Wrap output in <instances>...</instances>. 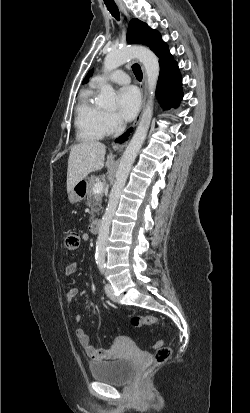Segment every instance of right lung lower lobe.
<instances>
[{"label": "right lung lower lobe", "instance_id": "98d812e1", "mask_svg": "<svg viewBox=\"0 0 250 413\" xmlns=\"http://www.w3.org/2000/svg\"><path fill=\"white\" fill-rule=\"evenodd\" d=\"M132 131V128H130L125 134H123L119 139H117V142H124L126 140V136H129V132Z\"/></svg>", "mask_w": 250, "mask_h": 413}]
</instances>
